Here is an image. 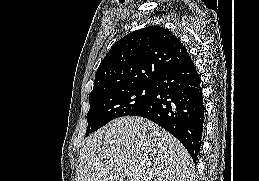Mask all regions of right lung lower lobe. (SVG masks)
<instances>
[{
    "label": "right lung lower lobe",
    "mask_w": 259,
    "mask_h": 181,
    "mask_svg": "<svg viewBox=\"0 0 259 181\" xmlns=\"http://www.w3.org/2000/svg\"><path fill=\"white\" fill-rule=\"evenodd\" d=\"M148 100L132 116L145 117L175 136L193 161L202 143L204 106L200 77L190 56L160 74Z\"/></svg>",
    "instance_id": "right-lung-lower-lobe-1"
}]
</instances>
